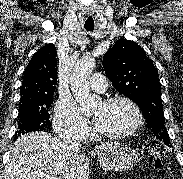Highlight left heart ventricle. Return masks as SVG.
Masks as SVG:
<instances>
[{"mask_svg":"<svg viewBox=\"0 0 183 179\" xmlns=\"http://www.w3.org/2000/svg\"><path fill=\"white\" fill-rule=\"evenodd\" d=\"M93 117L97 120L100 130L110 133L128 131L137 121L133 108L125 102L112 105L101 103L93 112Z\"/></svg>","mask_w":183,"mask_h":179,"instance_id":"b2bd125f","label":"left heart ventricle"}]
</instances>
